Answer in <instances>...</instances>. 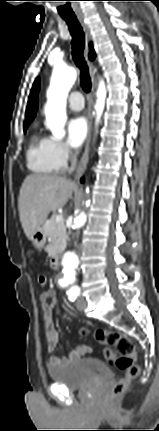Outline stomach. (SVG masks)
Masks as SVG:
<instances>
[{"instance_id":"stomach-1","label":"stomach","mask_w":159,"mask_h":431,"mask_svg":"<svg viewBox=\"0 0 159 431\" xmlns=\"http://www.w3.org/2000/svg\"><path fill=\"white\" fill-rule=\"evenodd\" d=\"M31 242L34 248H37V249L43 248L46 242V234L44 233V231L41 229L38 232H36L33 235Z\"/></svg>"}]
</instances>
